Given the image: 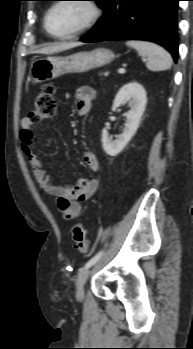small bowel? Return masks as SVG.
<instances>
[{
  "mask_svg": "<svg viewBox=\"0 0 193 349\" xmlns=\"http://www.w3.org/2000/svg\"><path fill=\"white\" fill-rule=\"evenodd\" d=\"M95 96L96 92L90 86H81L76 90V112L78 115L86 116L90 112ZM33 126L34 122L30 118L22 119L20 131L21 147L28 159L32 174L39 186L47 194L56 198L57 207L63 217L67 220L74 219L81 213V202L89 200L97 192L99 181L96 178H81L73 185H55L34 151ZM83 160L90 171L96 172L99 169L98 158L93 152H85Z\"/></svg>",
  "mask_w": 193,
  "mask_h": 349,
  "instance_id": "obj_1",
  "label": "small bowel"
}]
</instances>
